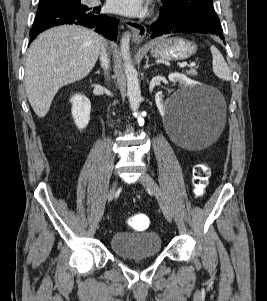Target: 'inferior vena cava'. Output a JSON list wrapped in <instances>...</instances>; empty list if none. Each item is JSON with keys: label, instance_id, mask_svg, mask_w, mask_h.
<instances>
[{"label": "inferior vena cava", "instance_id": "inferior-vena-cava-1", "mask_svg": "<svg viewBox=\"0 0 267 301\" xmlns=\"http://www.w3.org/2000/svg\"><path fill=\"white\" fill-rule=\"evenodd\" d=\"M100 60H101L102 67L105 70H108L110 61H109L108 55L106 53V48L103 44H102V50L100 53Z\"/></svg>", "mask_w": 267, "mask_h": 301}]
</instances>
